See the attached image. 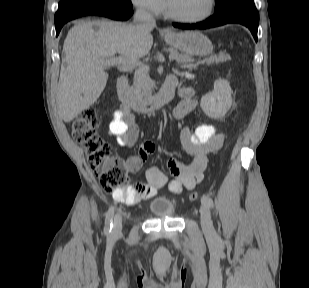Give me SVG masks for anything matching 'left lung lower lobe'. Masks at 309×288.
I'll return each instance as SVG.
<instances>
[{
  "label": "left lung lower lobe",
  "instance_id": "0a47b994",
  "mask_svg": "<svg viewBox=\"0 0 309 288\" xmlns=\"http://www.w3.org/2000/svg\"><path fill=\"white\" fill-rule=\"evenodd\" d=\"M228 23H239L248 27L257 41L259 14L253 0L236 1L203 22L193 24L173 23V26L181 29H207Z\"/></svg>",
  "mask_w": 309,
  "mask_h": 288
}]
</instances>
